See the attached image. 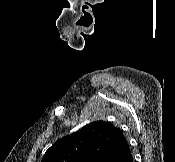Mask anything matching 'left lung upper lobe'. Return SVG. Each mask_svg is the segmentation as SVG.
Instances as JSON below:
<instances>
[{
  "mask_svg": "<svg viewBox=\"0 0 175 162\" xmlns=\"http://www.w3.org/2000/svg\"><path fill=\"white\" fill-rule=\"evenodd\" d=\"M125 140L123 132L104 121H94L57 140L41 162H105Z\"/></svg>",
  "mask_w": 175,
  "mask_h": 162,
  "instance_id": "obj_1",
  "label": "left lung upper lobe"
}]
</instances>
